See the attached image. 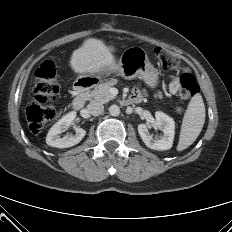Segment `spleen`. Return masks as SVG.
Segmentation results:
<instances>
[{
	"label": "spleen",
	"mask_w": 232,
	"mask_h": 232,
	"mask_svg": "<svg viewBox=\"0 0 232 232\" xmlns=\"http://www.w3.org/2000/svg\"><path fill=\"white\" fill-rule=\"evenodd\" d=\"M205 122V105L200 94L192 97L184 114L177 151L188 148L197 139Z\"/></svg>",
	"instance_id": "obj_1"
}]
</instances>
